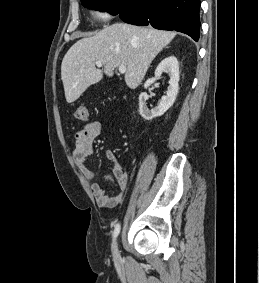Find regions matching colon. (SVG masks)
<instances>
[{
	"label": "colon",
	"instance_id": "5ec220e1",
	"mask_svg": "<svg viewBox=\"0 0 259 283\" xmlns=\"http://www.w3.org/2000/svg\"><path fill=\"white\" fill-rule=\"evenodd\" d=\"M75 118L78 121H86L88 119V109L86 105L81 104L77 107L75 111Z\"/></svg>",
	"mask_w": 259,
	"mask_h": 283
}]
</instances>
